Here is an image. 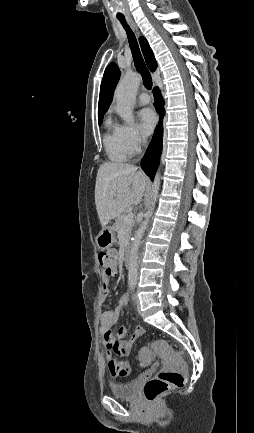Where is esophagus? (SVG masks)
Listing matches in <instances>:
<instances>
[{
    "instance_id": "esophagus-1",
    "label": "esophagus",
    "mask_w": 254,
    "mask_h": 433,
    "mask_svg": "<svg viewBox=\"0 0 254 433\" xmlns=\"http://www.w3.org/2000/svg\"><path fill=\"white\" fill-rule=\"evenodd\" d=\"M130 22H131L132 26L137 30L135 23L132 20H130ZM154 85H156V84H154Z\"/></svg>"
}]
</instances>
